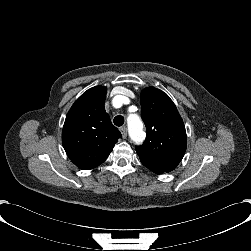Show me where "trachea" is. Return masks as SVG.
I'll use <instances>...</instances> for the list:
<instances>
[{"mask_svg": "<svg viewBox=\"0 0 251 251\" xmlns=\"http://www.w3.org/2000/svg\"><path fill=\"white\" fill-rule=\"evenodd\" d=\"M113 122L116 126L120 127L124 124V117L123 116H115Z\"/></svg>", "mask_w": 251, "mask_h": 251, "instance_id": "obj_1", "label": "trachea"}]
</instances>
